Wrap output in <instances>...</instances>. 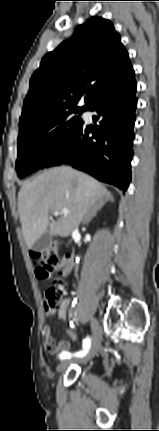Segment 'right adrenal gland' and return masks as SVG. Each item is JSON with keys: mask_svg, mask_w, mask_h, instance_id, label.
I'll return each instance as SVG.
<instances>
[{"mask_svg": "<svg viewBox=\"0 0 159 431\" xmlns=\"http://www.w3.org/2000/svg\"><path fill=\"white\" fill-rule=\"evenodd\" d=\"M107 201H111V202H113L114 201V199H113V197H112V195H108L107 196V198L105 199V200H103V201H100V202H98L97 204H95L92 208H91V210H90V212H89V214L86 216V218H85V220H84V224L85 223H88L95 215H96V213L104 206V204L107 202Z\"/></svg>", "mask_w": 159, "mask_h": 431, "instance_id": "1", "label": "right adrenal gland"}]
</instances>
